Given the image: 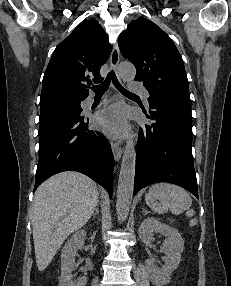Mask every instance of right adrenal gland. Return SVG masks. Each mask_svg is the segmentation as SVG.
<instances>
[{
	"mask_svg": "<svg viewBox=\"0 0 231 286\" xmlns=\"http://www.w3.org/2000/svg\"><path fill=\"white\" fill-rule=\"evenodd\" d=\"M95 215H99V206L97 204L96 208H95V213H93V216Z\"/></svg>",
	"mask_w": 231,
	"mask_h": 286,
	"instance_id": "obj_1",
	"label": "right adrenal gland"
}]
</instances>
